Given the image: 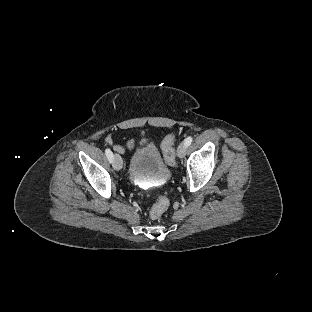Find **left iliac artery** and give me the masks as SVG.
Masks as SVG:
<instances>
[{"mask_svg": "<svg viewBox=\"0 0 312 312\" xmlns=\"http://www.w3.org/2000/svg\"><path fill=\"white\" fill-rule=\"evenodd\" d=\"M193 141V138L191 136L187 137L185 140H184V143L186 144V147H188Z\"/></svg>", "mask_w": 312, "mask_h": 312, "instance_id": "obj_1", "label": "left iliac artery"}]
</instances>
